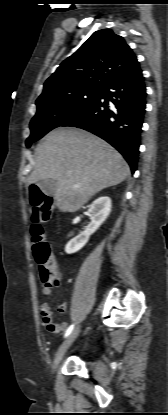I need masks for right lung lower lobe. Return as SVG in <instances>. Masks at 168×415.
<instances>
[{
    "mask_svg": "<svg viewBox=\"0 0 168 415\" xmlns=\"http://www.w3.org/2000/svg\"><path fill=\"white\" fill-rule=\"evenodd\" d=\"M100 98L62 126L87 130L115 147L136 170L146 88L139 63L103 89Z\"/></svg>",
    "mask_w": 168,
    "mask_h": 415,
    "instance_id": "right-lung-lower-lobe-1",
    "label": "right lung lower lobe"
}]
</instances>
